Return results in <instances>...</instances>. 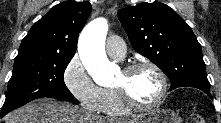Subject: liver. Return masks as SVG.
Segmentation results:
<instances>
[{"label":"liver","mask_w":221,"mask_h":123,"mask_svg":"<svg viewBox=\"0 0 221 123\" xmlns=\"http://www.w3.org/2000/svg\"><path fill=\"white\" fill-rule=\"evenodd\" d=\"M5 123H133L96 116L66 102L37 99L4 117Z\"/></svg>","instance_id":"6515ba94"}]
</instances>
